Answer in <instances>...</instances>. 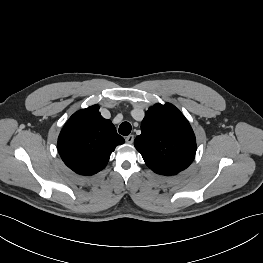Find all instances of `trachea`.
Listing matches in <instances>:
<instances>
[{"instance_id": "trachea-1", "label": "trachea", "mask_w": 263, "mask_h": 263, "mask_svg": "<svg viewBox=\"0 0 263 263\" xmlns=\"http://www.w3.org/2000/svg\"><path fill=\"white\" fill-rule=\"evenodd\" d=\"M131 124L129 122H123L121 123V125L119 126V133L121 135H124V136H128L131 132Z\"/></svg>"}]
</instances>
